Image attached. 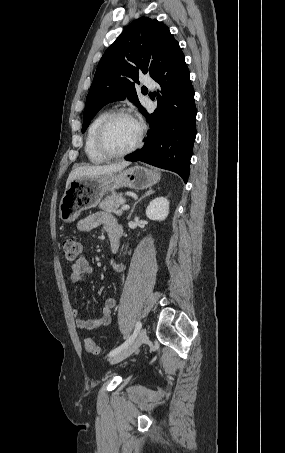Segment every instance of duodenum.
I'll list each match as a JSON object with an SVG mask.
<instances>
[{"mask_svg": "<svg viewBox=\"0 0 285 453\" xmlns=\"http://www.w3.org/2000/svg\"><path fill=\"white\" fill-rule=\"evenodd\" d=\"M119 243L118 242H111V250L112 252H116L118 250Z\"/></svg>", "mask_w": 285, "mask_h": 453, "instance_id": "410a0bca", "label": "duodenum"}]
</instances>
